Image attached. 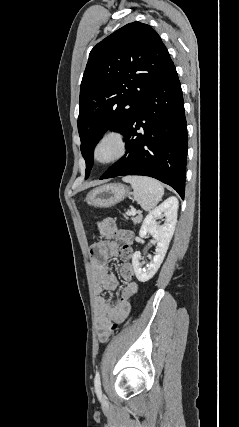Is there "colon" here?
<instances>
[{
    "instance_id": "1",
    "label": "colon",
    "mask_w": 239,
    "mask_h": 427,
    "mask_svg": "<svg viewBox=\"0 0 239 427\" xmlns=\"http://www.w3.org/2000/svg\"><path fill=\"white\" fill-rule=\"evenodd\" d=\"M116 242L118 244H125L123 247L125 248L126 246H130V241H128V237L126 235H118L116 237ZM124 252L126 251L125 249L123 250ZM133 253L132 252H125L123 254V258H121L120 260V265L121 268L119 270L120 273V281L121 282H130L131 281V276L134 273V270L132 268L133 265ZM125 290H121L120 291V296L121 297H126L127 296V291H126V287L124 288ZM117 324H113L112 325V329L116 328Z\"/></svg>"
}]
</instances>
